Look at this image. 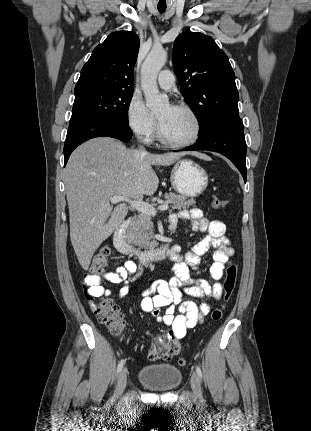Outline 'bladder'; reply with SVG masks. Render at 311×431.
I'll use <instances>...</instances> for the list:
<instances>
[{
	"label": "bladder",
	"instance_id": "31cf9c89",
	"mask_svg": "<svg viewBox=\"0 0 311 431\" xmlns=\"http://www.w3.org/2000/svg\"><path fill=\"white\" fill-rule=\"evenodd\" d=\"M138 380L150 390L168 392L180 385L182 373L179 368L172 364H149L139 370Z\"/></svg>",
	"mask_w": 311,
	"mask_h": 431
}]
</instances>
